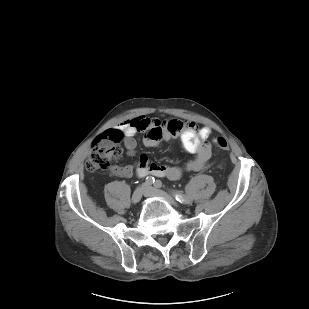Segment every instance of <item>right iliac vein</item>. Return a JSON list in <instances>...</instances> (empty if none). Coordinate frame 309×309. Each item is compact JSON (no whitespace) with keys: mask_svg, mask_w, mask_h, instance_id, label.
Instances as JSON below:
<instances>
[{"mask_svg":"<svg viewBox=\"0 0 309 309\" xmlns=\"http://www.w3.org/2000/svg\"><path fill=\"white\" fill-rule=\"evenodd\" d=\"M147 191V184H143L142 186L138 187L131 198L133 204H137L142 199L143 195H145Z\"/></svg>","mask_w":309,"mask_h":309,"instance_id":"63e3f726","label":"right iliac vein"}]
</instances>
